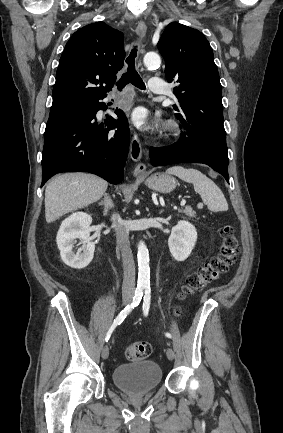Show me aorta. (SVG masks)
<instances>
[{"label":"aorta","instance_id":"obj_1","mask_svg":"<svg viewBox=\"0 0 283 433\" xmlns=\"http://www.w3.org/2000/svg\"><path fill=\"white\" fill-rule=\"evenodd\" d=\"M144 64L148 68H158L161 64L160 56L155 52H148L144 56ZM138 260V281L137 285L140 288H148L150 286V266L149 252L144 242H139L137 251Z\"/></svg>","mask_w":283,"mask_h":433}]
</instances>
